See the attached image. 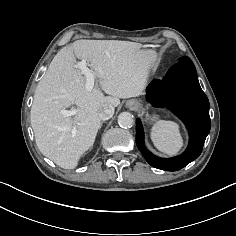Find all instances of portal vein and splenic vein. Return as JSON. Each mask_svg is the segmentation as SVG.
Returning a JSON list of instances; mask_svg holds the SVG:
<instances>
[{
    "label": "portal vein and splenic vein",
    "instance_id": "1",
    "mask_svg": "<svg viewBox=\"0 0 236 236\" xmlns=\"http://www.w3.org/2000/svg\"><path fill=\"white\" fill-rule=\"evenodd\" d=\"M76 67L79 68L86 77V84H85L86 89L92 90L95 83V76L92 73V71L87 67L86 60L77 62ZM75 113H76L75 109L61 110V114L64 116H73Z\"/></svg>",
    "mask_w": 236,
    "mask_h": 236
}]
</instances>
